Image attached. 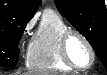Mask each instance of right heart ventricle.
<instances>
[{
	"label": "right heart ventricle",
	"instance_id": "1",
	"mask_svg": "<svg viewBox=\"0 0 107 75\" xmlns=\"http://www.w3.org/2000/svg\"><path fill=\"white\" fill-rule=\"evenodd\" d=\"M68 29L60 15L51 10L45 11L28 47L27 68L39 72L71 71L60 53V39Z\"/></svg>",
	"mask_w": 107,
	"mask_h": 75
}]
</instances>
